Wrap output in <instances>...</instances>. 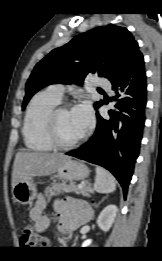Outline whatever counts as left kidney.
I'll list each match as a JSON object with an SVG mask.
<instances>
[{"label": "left kidney", "mask_w": 162, "mask_h": 261, "mask_svg": "<svg viewBox=\"0 0 162 261\" xmlns=\"http://www.w3.org/2000/svg\"><path fill=\"white\" fill-rule=\"evenodd\" d=\"M116 213H117V206L113 204L106 206L102 210V212L100 213L97 219V224L101 230L107 232L111 228L115 220Z\"/></svg>", "instance_id": "obj_1"}]
</instances>
